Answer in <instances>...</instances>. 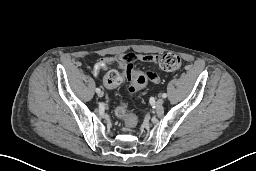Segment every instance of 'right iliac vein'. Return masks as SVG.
<instances>
[{"instance_id": "right-iliac-vein-1", "label": "right iliac vein", "mask_w": 256, "mask_h": 171, "mask_svg": "<svg viewBox=\"0 0 256 171\" xmlns=\"http://www.w3.org/2000/svg\"><path fill=\"white\" fill-rule=\"evenodd\" d=\"M103 95H104V93H103L102 91H100V92L98 93V96H99V97H103Z\"/></svg>"}]
</instances>
